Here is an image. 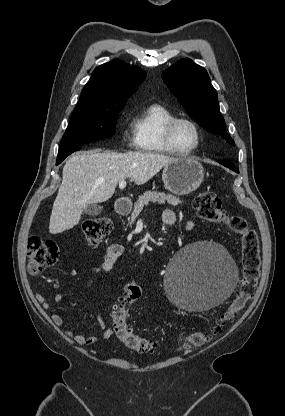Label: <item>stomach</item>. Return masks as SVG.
Instances as JSON below:
<instances>
[{"mask_svg":"<svg viewBox=\"0 0 285 416\" xmlns=\"http://www.w3.org/2000/svg\"><path fill=\"white\" fill-rule=\"evenodd\" d=\"M204 178L203 166L197 160L182 156L165 166L162 174L164 186L171 194L185 196L195 192Z\"/></svg>","mask_w":285,"mask_h":416,"instance_id":"0dacf381","label":"stomach"}]
</instances>
